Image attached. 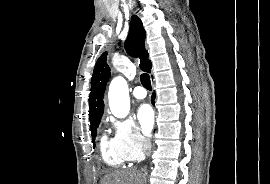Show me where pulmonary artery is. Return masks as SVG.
I'll list each match as a JSON object with an SVG mask.
<instances>
[{
    "instance_id": "1",
    "label": "pulmonary artery",
    "mask_w": 270,
    "mask_h": 184,
    "mask_svg": "<svg viewBox=\"0 0 270 184\" xmlns=\"http://www.w3.org/2000/svg\"><path fill=\"white\" fill-rule=\"evenodd\" d=\"M133 95L136 99H144L147 93H146V90L142 86H137L133 90Z\"/></svg>"
}]
</instances>
